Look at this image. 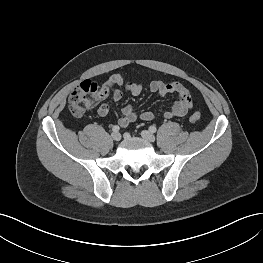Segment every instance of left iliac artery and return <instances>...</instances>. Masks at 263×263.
Instances as JSON below:
<instances>
[{"label":"left iliac artery","instance_id":"1","mask_svg":"<svg viewBox=\"0 0 263 263\" xmlns=\"http://www.w3.org/2000/svg\"><path fill=\"white\" fill-rule=\"evenodd\" d=\"M149 130H150L152 133H155L156 130H157V128H156V126L151 125V126L149 127Z\"/></svg>","mask_w":263,"mask_h":263}]
</instances>
